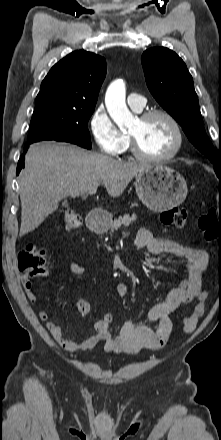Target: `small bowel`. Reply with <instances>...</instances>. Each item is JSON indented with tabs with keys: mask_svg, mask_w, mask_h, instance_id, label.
I'll return each mask as SVG.
<instances>
[{
	"mask_svg": "<svg viewBox=\"0 0 221 440\" xmlns=\"http://www.w3.org/2000/svg\"><path fill=\"white\" fill-rule=\"evenodd\" d=\"M137 249H146L151 254H172L176 256L185 272L178 285L160 302L154 304L146 316L139 321H129L123 325L120 333L113 336L103 317L94 323L95 333L83 341H75L66 337L61 327L49 320L46 311H38L40 320L46 322V328L55 341L65 350H88L102 343L104 350L109 353H135L143 348L158 349L166 345L178 334L192 332L204 314L208 299L203 289L208 272V255L198 248H193L166 238L154 237L148 229L141 228L135 238ZM70 270L74 275H81L84 266L71 263ZM22 286L29 302L36 303L31 280L27 275L22 276ZM116 292L120 297L126 296L128 286L125 283L116 285ZM192 304V311L183 319V328L179 333L173 330L171 314ZM158 322L157 330L147 326L149 322Z\"/></svg>",
	"mask_w": 221,
	"mask_h": 440,
	"instance_id": "obj_1",
	"label": "small bowel"
}]
</instances>
